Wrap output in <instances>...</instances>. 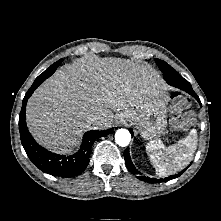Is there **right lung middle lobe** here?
<instances>
[{
  "instance_id": "1",
  "label": "right lung middle lobe",
  "mask_w": 221,
  "mask_h": 221,
  "mask_svg": "<svg viewBox=\"0 0 221 221\" xmlns=\"http://www.w3.org/2000/svg\"><path fill=\"white\" fill-rule=\"evenodd\" d=\"M62 61H63V59L58 60L57 62L52 64L47 70H51L52 68L58 67Z\"/></svg>"
}]
</instances>
